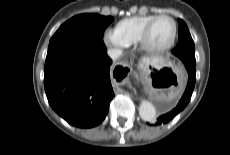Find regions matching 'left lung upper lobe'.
<instances>
[{
  "mask_svg": "<svg viewBox=\"0 0 230 155\" xmlns=\"http://www.w3.org/2000/svg\"><path fill=\"white\" fill-rule=\"evenodd\" d=\"M179 41L172 53L179 57L182 61L188 57L195 63V47L192 37L189 33L186 23L179 19Z\"/></svg>",
  "mask_w": 230,
  "mask_h": 155,
  "instance_id": "5c2ea615",
  "label": "left lung upper lobe"
}]
</instances>
